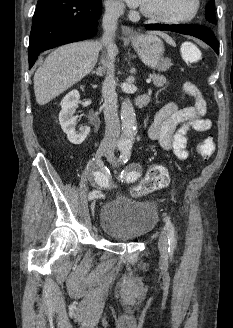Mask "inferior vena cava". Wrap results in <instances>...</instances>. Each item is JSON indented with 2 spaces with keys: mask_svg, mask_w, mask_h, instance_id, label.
Returning <instances> with one entry per match:
<instances>
[{
  "mask_svg": "<svg viewBox=\"0 0 233 328\" xmlns=\"http://www.w3.org/2000/svg\"><path fill=\"white\" fill-rule=\"evenodd\" d=\"M124 6L117 2H107L105 4V14L102 21L104 34L101 43L107 49L105 59L102 63L107 69V76L102 85V95L104 97V118L105 135L101 142L100 149L106 153L113 154L120 135V122L118 117L116 83L114 80V54L115 46L113 40L117 29L118 18L123 14Z\"/></svg>",
  "mask_w": 233,
  "mask_h": 328,
  "instance_id": "1",
  "label": "inferior vena cava"
}]
</instances>
